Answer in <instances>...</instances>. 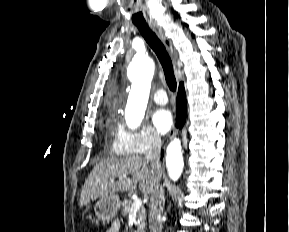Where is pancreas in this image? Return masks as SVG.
Masks as SVG:
<instances>
[{
	"instance_id": "obj_1",
	"label": "pancreas",
	"mask_w": 289,
	"mask_h": 232,
	"mask_svg": "<svg viewBox=\"0 0 289 232\" xmlns=\"http://www.w3.org/2000/svg\"><path fill=\"white\" fill-rule=\"evenodd\" d=\"M132 201L131 200H125L122 203V210L121 214L123 216H126L131 209ZM137 232H144L145 226H146V211L143 206L140 207L137 213Z\"/></svg>"
}]
</instances>
